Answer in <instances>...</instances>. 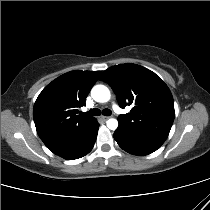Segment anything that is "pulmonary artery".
Segmentation results:
<instances>
[{
  "label": "pulmonary artery",
  "mask_w": 210,
  "mask_h": 210,
  "mask_svg": "<svg viewBox=\"0 0 210 210\" xmlns=\"http://www.w3.org/2000/svg\"><path fill=\"white\" fill-rule=\"evenodd\" d=\"M115 110L118 111V112L120 111L118 107H115Z\"/></svg>",
  "instance_id": "obj_1"
}]
</instances>
